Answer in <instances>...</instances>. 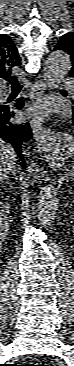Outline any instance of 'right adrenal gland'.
<instances>
[{"mask_svg": "<svg viewBox=\"0 0 74 366\" xmlns=\"http://www.w3.org/2000/svg\"><path fill=\"white\" fill-rule=\"evenodd\" d=\"M13 175H15V172H13ZM6 179H7V180H10V178H9V177H7Z\"/></svg>", "mask_w": 74, "mask_h": 366, "instance_id": "1", "label": "right adrenal gland"}]
</instances>
